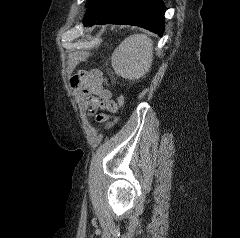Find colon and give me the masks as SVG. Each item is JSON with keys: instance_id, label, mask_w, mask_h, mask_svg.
<instances>
[{"instance_id": "1", "label": "colon", "mask_w": 240, "mask_h": 238, "mask_svg": "<svg viewBox=\"0 0 240 238\" xmlns=\"http://www.w3.org/2000/svg\"><path fill=\"white\" fill-rule=\"evenodd\" d=\"M117 101H118V105H119L121 108H123V106H124V98H123L122 95H119V96L117 97Z\"/></svg>"}]
</instances>
